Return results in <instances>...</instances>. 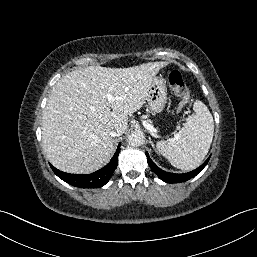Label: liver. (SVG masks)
<instances>
[{
	"instance_id": "1",
	"label": "liver",
	"mask_w": 257,
	"mask_h": 257,
	"mask_svg": "<svg viewBox=\"0 0 257 257\" xmlns=\"http://www.w3.org/2000/svg\"><path fill=\"white\" fill-rule=\"evenodd\" d=\"M166 62L128 68L89 66L63 76L52 88L42 117L44 154L64 172L88 174L102 168L114 151L110 131L128 127L153 78ZM114 98L109 102L106 98Z\"/></svg>"
}]
</instances>
